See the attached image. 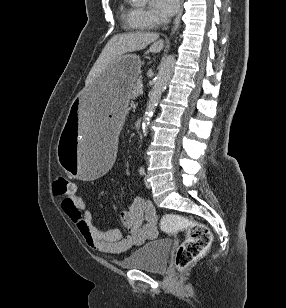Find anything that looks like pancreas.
<instances>
[{
  "mask_svg": "<svg viewBox=\"0 0 286 308\" xmlns=\"http://www.w3.org/2000/svg\"><path fill=\"white\" fill-rule=\"evenodd\" d=\"M142 88V81L138 79L135 84L132 86V90L130 92V97L132 99L136 98L139 95V90Z\"/></svg>",
  "mask_w": 286,
  "mask_h": 308,
  "instance_id": "obj_1",
  "label": "pancreas"
}]
</instances>
